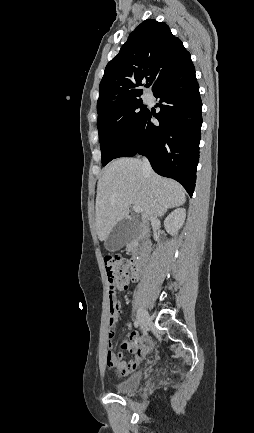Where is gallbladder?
<instances>
[{
	"instance_id": "bac80fb5",
	"label": "gallbladder",
	"mask_w": 254,
	"mask_h": 433,
	"mask_svg": "<svg viewBox=\"0 0 254 433\" xmlns=\"http://www.w3.org/2000/svg\"><path fill=\"white\" fill-rule=\"evenodd\" d=\"M142 230L141 223L136 219H123L116 223L105 240V248L117 251L130 241L136 239Z\"/></svg>"
}]
</instances>
